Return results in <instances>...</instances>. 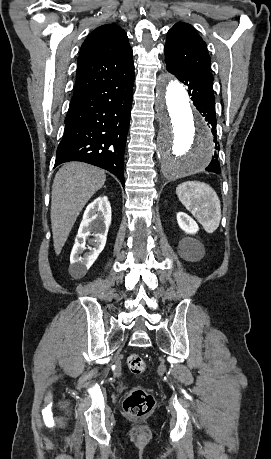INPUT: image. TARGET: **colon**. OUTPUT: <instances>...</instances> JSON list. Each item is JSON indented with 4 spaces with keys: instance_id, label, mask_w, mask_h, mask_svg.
Returning a JSON list of instances; mask_svg holds the SVG:
<instances>
[{
    "instance_id": "1",
    "label": "colon",
    "mask_w": 271,
    "mask_h": 459,
    "mask_svg": "<svg viewBox=\"0 0 271 459\" xmlns=\"http://www.w3.org/2000/svg\"><path fill=\"white\" fill-rule=\"evenodd\" d=\"M127 365L135 375H141L146 370L144 359L138 354H131L127 358ZM155 406V399L144 388L131 389L123 402L124 412L131 417H143L149 414Z\"/></svg>"
}]
</instances>
